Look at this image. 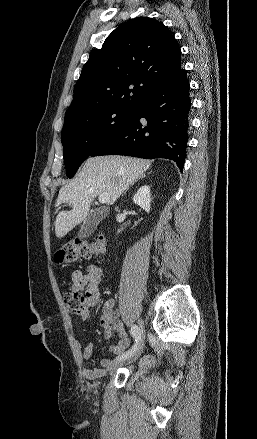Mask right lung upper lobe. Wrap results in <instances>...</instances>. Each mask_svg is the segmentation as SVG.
<instances>
[{
    "label": "right lung upper lobe",
    "mask_w": 257,
    "mask_h": 439,
    "mask_svg": "<svg viewBox=\"0 0 257 439\" xmlns=\"http://www.w3.org/2000/svg\"><path fill=\"white\" fill-rule=\"evenodd\" d=\"M179 70L181 50L163 23L149 17L132 19L90 53L65 120L105 107L136 108Z\"/></svg>",
    "instance_id": "cb5924a9"
}]
</instances>
